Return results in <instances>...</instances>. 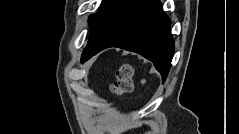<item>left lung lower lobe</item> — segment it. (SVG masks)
Returning a JSON list of instances; mask_svg holds the SVG:
<instances>
[{
    "mask_svg": "<svg viewBox=\"0 0 239 134\" xmlns=\"http://www.w3.org/2000/svg\"><path fill=\"white\" fill-rule=\"evenodd\" d=\"M170 19L159 0H125L104 28L88 40L84 61L109 47L136 52L154 63L163 82L174 53Z\"/></svg>",
    "mask_w": 239,
    "mask_h": 134,
    "instance_id": "1",
    "label": "left lung lower lobe"
}]
</instances>
